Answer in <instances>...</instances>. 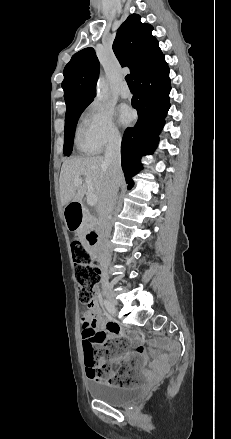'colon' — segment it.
Wrapping results in <instances>:
<instances>
[{
	"label": "colon",
	"mask_w": 231,
	"mask_h": 439,
	"mask_svg": "<svg viewBox=\"0 0 231 439\" xmlns=\"http://www.w3.org/2000/svg\"><path fill=\"white\" fill-rule=\"evenodd\" d=\"M74 274L79 286V297L82 304L90 308L92 305L94 287L100 280V269L86 249L78 240L71 244ZM126 351L124 340H114L98 348L87 344L84 347V363L88 376L93 380L107 378L108 382L119 386H132L139 380L133 377L128 370L116 369L111 375L110 359H116Z\"/></svg>",
	"instance_id": "colon-1"
}]
</instances>
